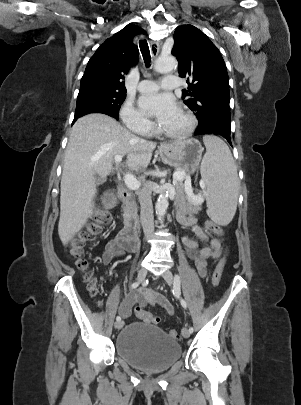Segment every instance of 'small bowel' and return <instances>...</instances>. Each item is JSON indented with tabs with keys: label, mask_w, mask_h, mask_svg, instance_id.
Instances as JSON below:
<instances>
[{
	"label": "small bowel",
	"mask_w": 301,
	"mask_h": 405,
	"mask_svg": "<svg viewBox=\"0 0 301 405\" xmlns=\"http://www.w3.org/2000/svg\"><path fill=\"white\" fill-rule=\"evenodd\" d=\"M177 219L182 225L189 227L196 237V239L183 237L182 242L196 270L204 277L207 273L208 260L218 258L222 254V242L218 238H210L206 231L197 225L195 216L186 207L180 206ZM126 251L121 244V235L118 233L106 243L101 260L103 264L108 265L114 258L123 255ZM136 304H158L167 313L173 311L172 306L162 294L156 293L152 289H140L130 292L124 297L119 313L124 318H128Z\"/></svg>",
	"instance_id": "1"
}]
</instances>
